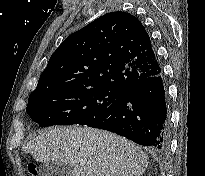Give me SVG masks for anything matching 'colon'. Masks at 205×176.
<instances>
[{"mask_svg":"<svg viewBox=\"0 0 205 176\" xmlns=\"http://www.w3.org/2000/svg\"><path fill=\"white\" fill-rule=\"evenodd\" d=\"M29 170H30L31 172H34V171H35L34 165H30V166H29Z\"/></svg>","mask_w":205,"mask_h":176,"instance_id":"obj_1","label":"colon"}]
</instances>
